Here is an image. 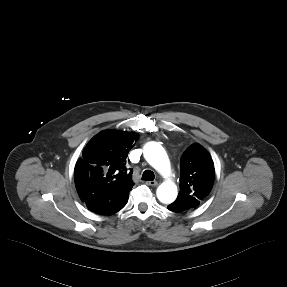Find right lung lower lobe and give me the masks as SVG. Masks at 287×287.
Listing matches in <instances>:
<instances>
[{
    "label": "right lung lower lobe",
    "mask_w": 287,
    "mask_h": 287,
    "mask_svg": "<svg viewBox=\"0 0 287 287\" xmlns=\"http://www.w3.org/2000/svg\"><path fill=\"white\" fill-rule=\"evenodd\" d=\"M130 189L116 187L110 190L94 191L84 197L87 208L102 215H112L121 210L128 201Z\"/></svg>",
    "instance_id": "right-lung-lower-lobe-1"
}]
</instances>
